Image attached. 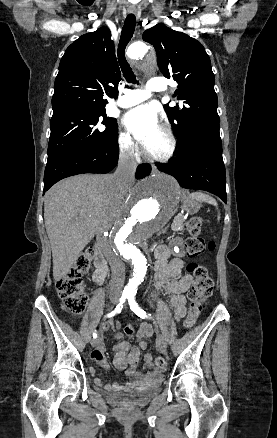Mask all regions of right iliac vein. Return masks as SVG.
Returning a JSON list of instances; mask_svg holds the SVG:
<instances>
[{
    "label": "right iliac vein",
    "instance_id": "right-iliac-vein-1",
    "mask_svg": "<svg viewBox=\"0 0 277 438\" xmlns=\"http://www.w3.org/2000/svg\"><path fill=\"white\" fill-rule=\"evenodd\" d=\"M110 301H111L112 304H116L117 301H118V298H117L116 296H112V297L110 298ZM99 342H100V339H99V338H94V339H92V341H91V345H92L93 347H95V346H97V345L99 344Z\"/></svg>",
    "mask_w": 277,
    "mask_h": 438
}]
</instances>
